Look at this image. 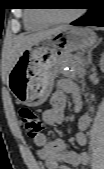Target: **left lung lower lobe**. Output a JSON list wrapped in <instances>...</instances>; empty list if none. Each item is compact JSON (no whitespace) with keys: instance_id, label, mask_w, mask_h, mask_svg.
Listing matches in <instances>:
<instances>
[{"instance_id":"1","label":"left lung lower lobe","mask_w":104,"mask_h":169,"mask_svg":"<svg viewBox=\"0 0 104 169\" xmlns=\"http://www.w3.org/2000/svg\"><path fill=\"white\" fill-rule=\"evenodd\" d=\"M85 16L71 23L75 26H104V8L100 3H92Z\"/></svg>"}]
</instances>
